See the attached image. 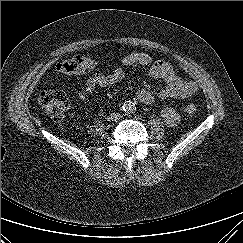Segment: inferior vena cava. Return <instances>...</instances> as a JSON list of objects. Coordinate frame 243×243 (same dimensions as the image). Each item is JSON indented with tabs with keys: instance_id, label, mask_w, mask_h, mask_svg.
I'll return each instance as SVG.
<instances>
[{
	"instance_id": "1",
	"label": "inferior vena cava",
	"mask_w": 243,
	"mask_h": 243,
	"mask_svg": "<svg viewBox=\"0 0 243 243\" xmlns=\"http://www.w3.org/2000/svg\"><path fill=\"white\" fill-rule=\"evenodd\" d=\"M119 117H120V114L119 113H112L111 120H118Z\"/></svg>"
}]
</instances>
